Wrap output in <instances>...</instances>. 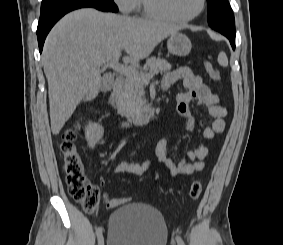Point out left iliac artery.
I'll return each instance as SVG.
<instances>
[{"label":"left iliac artery","instance_id":"obj_1","mask_svg":"<svg viewBox=\"0 0 283 245\" xmlns=\"http://www.w3.org/2000/svg\"><path fill=\"white\" fill-rule=\"evenodd\" d=\"M176 241H177L178 245H185L184 241L182 240V238L180 236L176 237Z\"/></svg>","mask_w":283,"mask_h":245}]
</instances>
